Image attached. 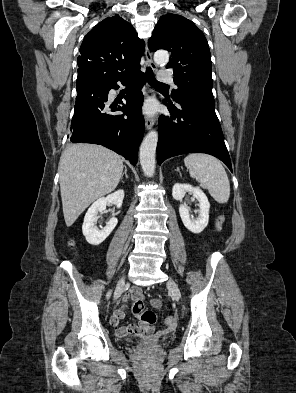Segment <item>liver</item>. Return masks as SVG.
Masks as SVG:
<instances>
[{
  "instance_id": "6515ba94",
  "label": "liver",
  "mask_w": 296,
  "mask_h": 393,
  "mask_svg": "<svg viewBox=\"0 0 296 393\" xmlns=\"http://www.w3.org/2000/svg\"><path fill=\"white\" fill-rule=\"evenodd\" d=\"M123 167L118 154L100 145L81 143L65 149L59 162V182L67 227L92 202L117 187Z\"/></svg>"
}]
</instances>
